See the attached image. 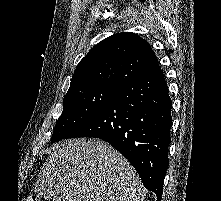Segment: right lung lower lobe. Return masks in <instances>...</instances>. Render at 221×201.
Here are the masks:
<instances>
[{
    "mask_svg": "<svg viewBox=\"0 0 221 201\" xmlns=\"http://www.w3.org/2000/svg\"><path fill=\"white\" fill-rule=\"evenodd\" d=\"M171 108L168 86L158 66L121 88L67 138L94 137L111 144L161 201L169 165Z\"/></svg>",
    "mask_w": 221,
    "mask_h": 201,
    "instance_id": "1",
    "label": "right lung lower lobe"
}]
</instances>
